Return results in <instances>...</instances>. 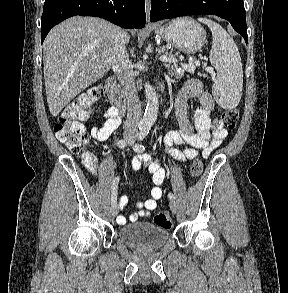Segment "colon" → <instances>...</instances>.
<instances>
[{
    "mask_svg": "<svg viewBox=\"0 0 288 293\" xmlns=\"http://www.w3.org/2000/svg\"><path fill=\"white\" fill-rule=\"evenodd\" d=\"M104 95L101 87H95L80 97L75 102L69 104L58 116L54 125V132L57 139L65 144L75 155L81 157L83 165L91 172L98 168L94 155L86 150L88 134L83 121ZM239 120V111L236 108L226 110L222 115V121L226 128L234 129ZM203 171V163L195 160L190 167L191 176L198 178ZM156 225L170 228L172 225L171 215L166 211L158 212L154 217Z\"/></svg>",
    "mask_w": 288,
    "mask_h": 293,
    "instance_id": "colon-1",
    "label": "colon"
}]
</instances>
